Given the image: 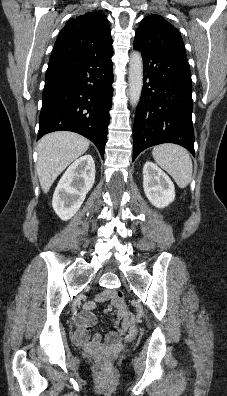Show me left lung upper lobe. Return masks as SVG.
Returning a JSON list of instances; mask_svg holds the SVG:
<instances>
[{"label": "left lung upper lobe", "instance_id": "5c2ea615", "mask_svg": "<svg viewBox=\"0 0 227 396\" xmlns=\"http://www.w3.org/2000/svg\"><path fill=\"white\" fill-rule=\"evenodd\" d=\"M134 40L146 47H161L186 56L179 31L156 14L148 15L141 21Z\"/></svg>", "mask_w": 227, "mask_h": 396}]
</instances>
